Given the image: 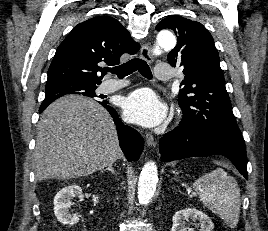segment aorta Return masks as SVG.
<instances>
[{
	"label": "aorta",
	"mask_w": 268,
	"mask_h": 231,
	"mask_svg": "<svg viewBox=\"0 0 268 231\" xmlns=\"http://www.w3.org/2000/svg\"><path fill=\"white\" fill-rule=\"evenodd\" d=\"M176 39L170 32H160L157 43L153 48V54L159 55L162 50L168 51L174 48ZM158 182L157 165L153 161L147 162L140 173L138 182V200L140 204H146L153 197Z\"/></svg>",
	"instance_id": "1"
}]
</instances>
